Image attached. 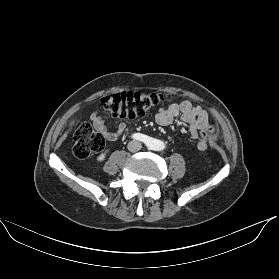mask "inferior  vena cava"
<instances>
[{"instance_id": "1", "label": "inferior vena cava", "mask_w": 279, "mask_h": 279, "mask_svg": "<svg viewBox=\"0 0 279 279\" xmlns=\"http://www.w3.org/2000/svg\"><path fill=\"white\" fill-rule=\"evenodd\" d=\"M142 145L139 141L133 140L128 143V150L130 152H137L141 149Z\"/></svg>"}]
</instances>
